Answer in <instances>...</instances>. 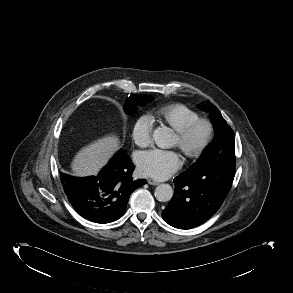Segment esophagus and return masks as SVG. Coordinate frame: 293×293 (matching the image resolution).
<instances>
[{"label": "esophagus", "instance_id": "esophagus-1", "mask_svg": "<svg viewBox=\"0 0 293 293\" xmlns=\"http://www.w3.org/2000/svg\"><path fill=\"white\" fill-rule=\"evenodd\" d=\"M147 182L150 185H154V186L159 185V182L158 181H155V180H152V179H148Z\"/></svg>", "mask_w": 293, "mask_h": 293}]
</instances>
